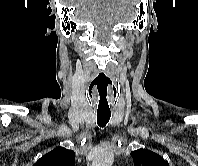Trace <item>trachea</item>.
Here are the masks:
<instances>
[{"label": "trachea", "mask_w": 198, "mask_h": 166, "mask_svg": "<svg viewBox=\"0 0 198 166\" xmlns=\"http://www.w3.org/2000/svg\"><path fill=\"white\" fill-rule=\"evenodd\" d=\"M110 113H97V122L100 127H104L110 120Z\"/></svg>", "instance_id": "trachea-1"}]
</instances>
